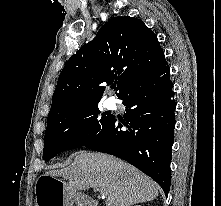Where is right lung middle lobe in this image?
I'll return each instance as SVG.
<instances>
[{
    "label": "right lung middle lobe",
    "mask_w": 221,
    "mask_h": 206,
    "mask_svg": "<svg viewBox=\"0 0 221 206\" xmlns=\"http://www.w3.org/2000/svg\"><path fill=\"white\" fill-rule=\"evenodd\" d=\"M98 103L81 104L60 109L48 116L43 159L50 160L58 153L84 146L112 118L102 115Z\"/></svg>",
    "instance_id": "obj_1"
}]
</instances>
